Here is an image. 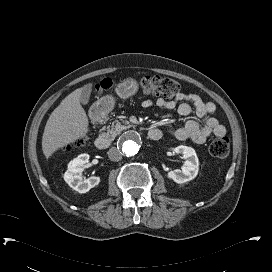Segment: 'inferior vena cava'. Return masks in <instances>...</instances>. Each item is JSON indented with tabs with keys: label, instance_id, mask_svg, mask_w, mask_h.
I'll list each match as a JSON object with an SVG mask.
<instances>
[{
	"label": "inferior vena cava",
	"instance_id": "1",
	"mask_svg": "<svg viewBox=\"0 0 272 272\" xmlns=\"http://www.w3.org/2000/svg\"><path fill=\"white\" fill-rule=\"evenodd\" d=\"M107 154L111 161H120L122 159V153L116 147H111Z\"/></svg>",
	"mask_w": 272,
	"mask_h": 272
}]
</instances>
